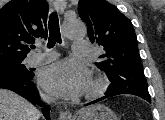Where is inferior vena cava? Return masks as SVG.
<instances>
[{"instance_id":"602c4592","label":"inferior vena cava","mask_w":165,"mask_h":120,"mask_svg":"<svg viewBox=\"0 0 165 120\" xmlns=\"http://www.w3.org/2000/svg\"><path fill=\"white\" fill-rule=\"evenodd\" d=\"M42 98H43V100H45L48 103H51V102L54 101V98L53 97H50L48 95H42Z\"/></svg>"}]
</instances>
